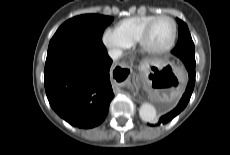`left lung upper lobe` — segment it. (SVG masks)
<instances>
[{
    "label": "left lung upper lobe",
    "mask_w": 230,
    "mask_h": 155,
    "mask_svg": "<svg viewBox=\"0 0 230 155\" xmlns=\"http://www.w3.org/2000/svg\"><path fill=\"white\" fill-rule=\"evenodd\" d=\"M179 24V37L178 44L172 51L174 55L179 57L182 60V57H190L191 60H195L194 58V43L192 41L190 32L185 22L180 19H177ZM183 61V60H182Z\"/></svg>",
    "instance_id": "obj_1"
}]
</instances>
